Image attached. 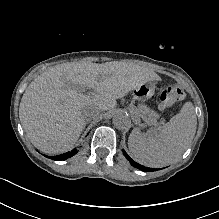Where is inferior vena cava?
<instances>
[{
  "mask_svg": "<svg viewBox=\"0 0 219 219\" xmlns=\"http://www.w3.org/2000/svg\"><path fill=\"white\" fill-rule=\"evenodd\" d=\"M84 117L88 122L94 123L99 120L100 114L97 109L91 108L86 111Z\"/></svg>",
  "mask_w": 219,
  "mask_h": 219,
  "instance_id": "602c4592",
  "label": "inferior vena cava"
}]
</instances>
